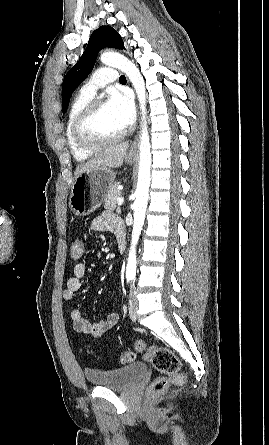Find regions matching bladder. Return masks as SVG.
Returning a JSON list of instances; mask_svg holds the SVG:
<instances>
[{"mask_svg":"<svg viewBox=\"0 0 269 445\" xmlns=\"http://www.w3.org/2000/svg\"><path fill=\"white\" fill-rule=\"evenodd\" d=\"M147 366L142 362L117 369H94L84 371L86 381L96 387L111 390H127L139 382L147 374Z\"/></svg>","mask_w":269,"mask_h":445,"instance_id":"obj_1","label":"bladder"}]
</instances>
